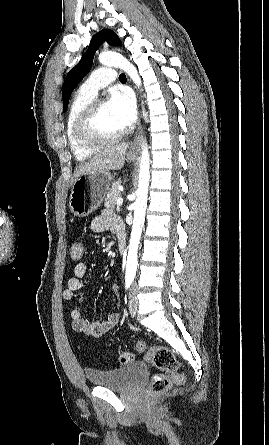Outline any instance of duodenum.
<instances>
[{"instance_id": "duodenum-1", "label": "duodenum", "mask_w": 269, "mask_h": 445, "mask_svg": "<svg viewBox=\"0 0 269 445\" xmlns=\"http://www.w3.org/2000/svg\"><path fill=\"white\" fill-rule=\"evenodd\" d=\"M117 238H118V251L122 255L126 251V234H125V232L120 231L117 234Z\"/></svg>"}]
</instances>
